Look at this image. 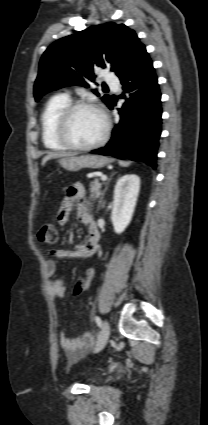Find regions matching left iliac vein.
I'll return each instance as SVG.
<instances>
[{"label":"left iliac vein","mask_w":208,"mask_h":425,"mask_svg":"<svg viewBox=\"0 0 208 425\" xmlns=\"http://www.w3.org/2000/svg\"><path fill=\"white\" fill-rule=\"evenodd\" d=\"M109 335H110V326H109V323L105 320L103 322L99 337L97 339V342L94 348L95 353L101 351L104 348V346L106 345L109 339Z\"/></svg>","instance_id":"4c4485c4"}]
</instances>
